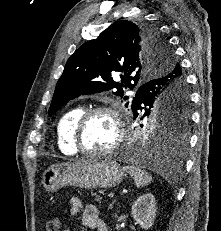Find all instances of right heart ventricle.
Here are the masks:
<instances>
[{
  "label": "right heart ventricle",
  "instance_id": "obj_1",
  "mask_svg": "<svg viewBox=\"0 0 221 231\" xmlns=\"http://www.w3.org/2000/svg\"><path fill=\"white\" fill-rule=\"evenodd\" d=\"M83 111L82 107L71 108L60 117L57 123V144L63 154L73 155L77 153L72 141L73 130L76 120Z\"/></svg>",
  "mask_w": 221,
  "mask_h": 231
}]
</instances>
